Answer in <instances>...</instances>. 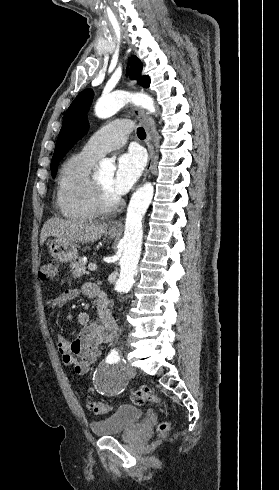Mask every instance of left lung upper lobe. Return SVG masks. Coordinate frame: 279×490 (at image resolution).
<instances>
[{
    "label": "left lung upper lobe",
    "instance_id": "1",
    "mask_svg": "<svg viewBox=\"0 0 279 490\" xmlns=\"http://www.w3.org/2000/svg\"><path fill=\"white\" fill-rule=\"evenodd\" d=\"M128 62L129 68L127 74L130 75L131 79L138 78L142 70L141 61L136 56H132ZM138 84L143 87H149V77H141L138 80ZM92 98L93 91L90 89L84 90L75 98L64 115L63 126L58 135L55 152L51 160V173L53 177L56 172V167L65 153L88 131L87 109Z\"/></svg>",
    "mask_w": 279,
    "mask_h": 490
}]
</instances>
